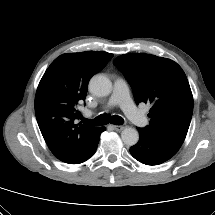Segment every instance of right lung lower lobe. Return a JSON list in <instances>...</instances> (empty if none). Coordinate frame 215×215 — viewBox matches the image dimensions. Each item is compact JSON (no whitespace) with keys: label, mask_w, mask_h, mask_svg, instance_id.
Returning <instances> with one entry per match:
<instances>
[{"label":"right lung lower lobe","mask_w":215,"mask_h":215,"mask_svg":"<svg viewBox=\"0 0 215 215\" xmlns=\"http://www.w3.org/2000/svg\"><path fill=\"white\" fill-rule=\"evenodd\" d=\"M103 131H105V127H101V129H100V131H99V134H98V136H97V139H96L94 145L92 146L91 150L88 152L87 156L85 157V159H84L82 162L88 160V159L95 153V151H96V149H97L98 142H99V140H100V134H101ZM82 162H81V163H82Z\"/></svg>","instance_id":"98d812e1"}]
</instances>
